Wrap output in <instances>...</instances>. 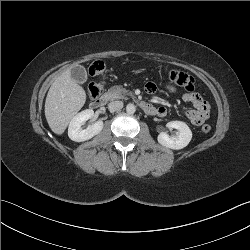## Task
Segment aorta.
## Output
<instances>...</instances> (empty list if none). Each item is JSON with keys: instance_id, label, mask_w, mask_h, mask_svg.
Wrapping results in <instances>:
<instances>
[{"instance_id": "762f6f07", "label": "aorta", "mask_w": 250, "mask_h": 250, "mask_svg": "<svg viewBox=\"0 0 250 250\" xmlns=\"http://www.w3.org/2000/svg\"><path fill=\"white\" fill-rule=\"evenodd\" d=\"M135 111H136V107H135L134 104L129 103V104L126 106V112H127L128 114H133V113H135Z\"/></svg>"}]
</instances>
